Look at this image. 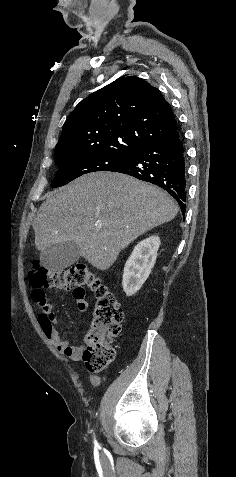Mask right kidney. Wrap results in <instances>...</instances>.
<instances>
[{
    "label": "right kidney",
    "mask_w": 236,
    "mask_h": 477,
    "mask_svg": "<svg viewBox=\"0 0 236 477\" xmlns=\"http://www.w3.org/2000/svg\"><path fill=\"white\" fill-rule=\"evenodd\" d=\"M160 245L158 236H151L135 246L123 273V290L127 296L135 294L151 273Z\"/></svg>",
    "instance_id": "1"
}]
</instances>
